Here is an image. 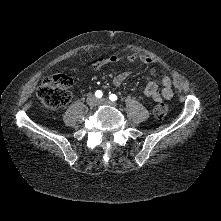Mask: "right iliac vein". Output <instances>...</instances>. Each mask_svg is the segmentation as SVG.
<instances>
[{
  "label": "right iliac vein",
  "mask_w": 221,
  "mask_h": 221,
  "mask_svg": "<svg viewBox=\"0 0 221 221\" xmlns=\"http://www.w3.org/2000/svg\"><path fill=\"white\" fill-rule=\"evenodd\" d=\"M87 103L89 106H95L97 105V99L94 96L90 95L87 99Z\"/></svg>",
  "instance_id": "63e3f726"
}]
</instances>
